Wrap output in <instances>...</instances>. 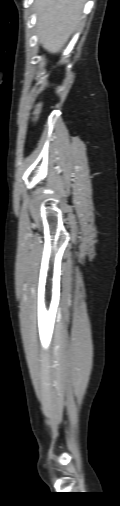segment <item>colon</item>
Instances as JSON below:
<instances>
[{"label":"colon","instance_id":"1","mask_svg":"<svg viewBox=\"0 0 120 506\" xmlns=\"http://www.w3.org/2000/svg\"><path fill=\"white\" fill-rule=\"evenodd\" d=\"M40 107H41V103H38L36 108H35V117L37 118L39 112H40Z\"/></svg>","mask_w":120,"mask_h":506}]
</instances>
